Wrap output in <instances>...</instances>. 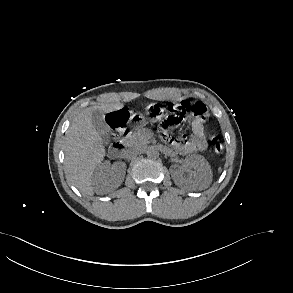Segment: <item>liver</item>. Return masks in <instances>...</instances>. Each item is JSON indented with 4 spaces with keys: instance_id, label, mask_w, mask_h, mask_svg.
<instances>
[{
    "instance_id": "6515ba94",
    "label": "liver",
    "mask_w": 293,
    "mask_h": 293,
    "mask_svg": "<svg viewBox=\"0 0 293 293\" xmlns=\"http://www.w3.org/2000/svg\"><path fill=\"white\" fill-rule=\"evenodd\" d=\"M102 108L84 109L73 120L65 137L66 177L85 195H93V171L106 155L103 140L92 123L93 112Z\"/></svg>"
}]
</instances>
